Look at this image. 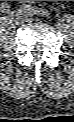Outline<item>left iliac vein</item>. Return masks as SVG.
I'll return each mask as SVG.
<instances>
[{"mask_svg":"<svg viewBox=\"0 0 74 122\" xmlns=\"http://www.w3.org/2000/svg\"><path fill=\"white\" fill-rule=\"evenodd\" d=\"M18 13L21 15V17L23 18L24 21L32 22L34 20V18L32 16H29L24 13L23 7H21L20 12H18Z\"/></svg>","mask_w":74,"mask_h":122,"instance_id":"1","label":"left iliac vein"}]
</instances>
